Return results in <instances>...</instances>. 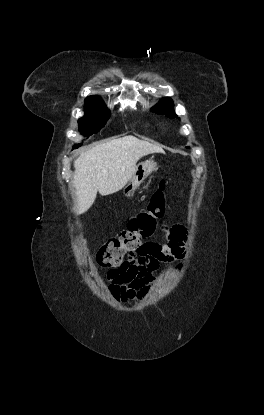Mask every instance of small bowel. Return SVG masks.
Listing matches in <instances>:
<instances>
[{
	"label": "small bowel",
	"instance_id": "small-bowel-1",
	"mask_svg": "<svg viewBox=\"0 0 264 415\" xmlns=\"http://www.w3.org/2000/svg\"><path fill=\"white\" fill-rule=\"evenodd\" d=\"M184 231L175 226L168 236V243L155 242L144 245L123 269H111L107 273L108 290L123 301L143 299L150 288L154 273L161 263L185 257Z\"/></svg>",
	"mask_w": 264,
	"mask_h": 415
}]
</instances>
